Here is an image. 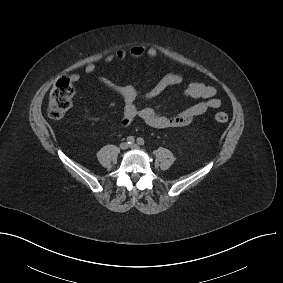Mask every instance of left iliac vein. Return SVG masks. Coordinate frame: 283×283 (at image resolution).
<instances>
[{"mask_svg":"<svg viewBox=\"0 0 283 283\" xmlns=\"http://www.w3.org/2000/svg\"><path fill=\"white\" fill-rule=\"evenodd\" d=\"M130 148L133 149V150H139L140 149V147L137 144H131Z\"/></svg>","mask_w":283,"mask_h":283,"instance_id":"obj_1","label":"left iliac vein"}]
</instances>
